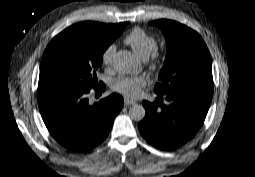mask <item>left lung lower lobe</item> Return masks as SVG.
Returning a JSON list of instances; mask_svg holds the SVG:
<instances>
[{
  "instance_id": "left-lung-lower-lobe-1",
  "label": "left lung lower lobe",
  "mask_w": 255,
  "mask_h": 177,
  "mask_svg": "<svg viewBox=\"0 0 255 177\" xmlns=\"http://www.w3.org/2000/svg\"><path fill=\"white\" fill-rule=\"evenodd\" d=\"M164 95L169 105L143 101L146 115L138 128L155 147L172 150L190 140L202 126L213 87H186Z\"/></svg>"
}]
</instances>
